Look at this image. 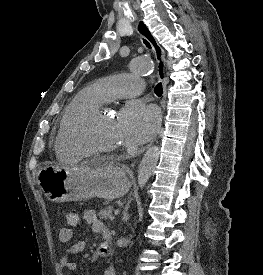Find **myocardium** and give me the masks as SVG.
<instances>
[{"label": "myocardium", "instance_id": "myocardium-1", "mask_svg": "<svg viewBox=\"0 0 263 275\" xmlns=\"http://www.w3.org/2000/svg\"><path fill=\"white\" fill-rule=\"evenodd\" d=\"M110 111L111 109L108 106L101 104L100 106L84 114L68 131V139L77 149L83 152L84 155L110 154L121 148L120 145H97L88 141L83 136V134L89 130L104 114Z\"/></svg>", "mask_w": 263, "mask_h": 275}]
</instances>
